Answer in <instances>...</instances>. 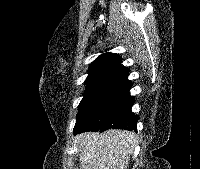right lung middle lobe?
I'll return each mask as SVG.
<instances>
[{"mask_svg": "<svg viewBox=\"0 0 200 169\" xmlns=\"http://www.w3.org/2000/svg\"><path fill=\"white\" fill-rule=\"evenodd\" d=\"M114 88L115 85H102L86 89L84 97L79 104L74 132L107 101Z\"/></svg>", "mask_w": 200, "mask_h": 169, "instance_id": "right-lung-middle-lobe-1", "label": "right lung middle lobe"}]
</instances>
